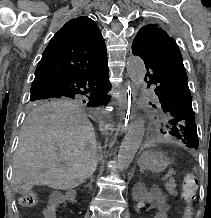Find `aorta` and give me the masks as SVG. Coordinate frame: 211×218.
<instances>
[{"mask_svg": "<svg viewBox=\"0 0 211 218\" xmlns=\"http://www.w3.org/2000/svg\"><path fill=\"white\" fill-rule=\"evenodd\" d=\"M127 73L132 84L139 88L145 78L146 68L143 60L137 56H132L127 60ZM144 136V121L138 119L125 135L118 152V166L124 170L129 167L140 147Z\"/></svg>", "mask_w": 211, "mask_h": 218, "instance_id": "762f6f07", "label": "aorta"}]
</instances>
